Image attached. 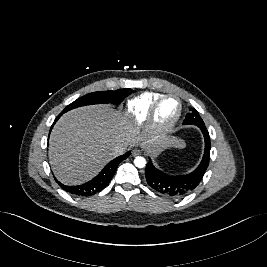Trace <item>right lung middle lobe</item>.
I'll list each match as a JSON object with an SVG mask.
<instances>
[{"label": "right lung middle lobe", "instance_id": "right-lung-middle-lobe-1", "mask_svg": "<svg viewBox=\"0 0 267 267\" xmlns=\"http://www.w3.org/2000/svg\"><path fill=\"white\" fill-rule=\"evenodd\" d=\"M132 93V89H119L116 91H98L82 96L69 104L60 115L77 107L92 104H119Z\"/></svg>", "mask_w": 267, "mask_h": 267}]
</instances>
